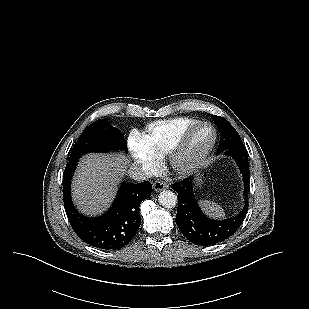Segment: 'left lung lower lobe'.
Segmentation results:
<instances>
[{
	"label": "left lung lower lobe",
	"instance_id": "obj_1",
	"mask_svg": "<svg viewBox=\"0 0 309 309\" xmlns=\"http://www.w3.org/2000/svg\"><path fill=\"white\" fill-rule=\"evenodd\" d=\"M237 162L244 177L245 206L235 217L217 221L208 218L199 208L193 194V177L175 183L172 188L178 193L176 223L182 234L192 243L201 246L214 245L232 236L242 224L248 211L249 163L244 145L234 146L223 151Z\"/></svg>",
	"mask_w": 309,
	"mask_h": 309
}]
</instances>
